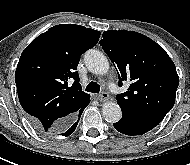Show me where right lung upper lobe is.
Segmentation results:
<instances>
[{"instance_id":"right-lung-upper-lobe-1","label":"right lung upper lobe","mask_w":190,"mask_h":165,"mask_svg":"<svg viewBox=\"0 0 190 165\" xmlns=\"http://www.w3.org/2000/svg\"><path fill=\"white\" fill-rule=\"evenodd\" d=\"M100 34L80 25H56L22 52L15 72L18 97L41 132H63L90 101L76 70L81 54L97 44Z\"/></svg>"}]
</instances>
